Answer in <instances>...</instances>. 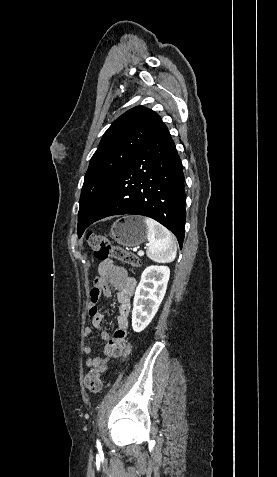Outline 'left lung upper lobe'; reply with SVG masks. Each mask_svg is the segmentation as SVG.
Returning <instances> with one entry per match:
<instances>
[{
  "mask_svg": "<svg viewBox=\"0 0 277 477\" xmlns=\"http://www.w3.org/2000/svg\"><path fill=\"white\" fill-rule=\"evenodd\" d=\"M165 128L161 117L143 106L128 110L111 124L92 156L84 177L78 231L93 217L122 167Z\"/></svg>",
  "mask_w": 277,
  "mask_h": 477,
  "instance_id": "obj_1",
  "label": "left lung upper lobe"
}]
</instances>
